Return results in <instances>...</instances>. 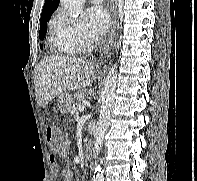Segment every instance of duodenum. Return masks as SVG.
<instances>
[{"instance_id":"obj_1","label":"duodenum","mask_w":197,"mask_h":181,"mask_svg":"<svg viewBox=\"0 0 197 181\" xmlns=\"http://www.w3.org/2000/svg\"><path fill=\"white\" fill-rule=\"evenodd\" d=\"M85 156L87 159L92 158V147L90 145H88L85 149Z\"/></svg>"}]
</instances>
